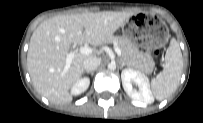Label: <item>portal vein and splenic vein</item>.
<instances>
[{
  "label": "portal vein and splenic vein",
  "mask_w": 203,
  "mask_h": 123,
  "mask_svg": "<svg viewBox=\"0 0 203 123\" xmlns=\"http://www.w3.org/2000/svg\"><path fill=\"white\" fill-rule=\"evenodd\" d=\"M114 50H115L117 55H121L122 54L121 49L118 48L117 46L114 47ZM80 53L84 54V55H89V54L92 53V49L90 47H88V46H82L80 48ZM74 55H75V52H70L68 54V56L66 58V65H65V68H64L65 71H67L69 69L71 61H72Z\"/></svg>",
  "instance_id": "portal-vein-and-splenic-vein-1"
}]
</instances>
